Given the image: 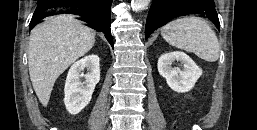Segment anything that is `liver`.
<instances>
[{
  "instance_id": "6515ba94",
  "label": "liver",
  "mask_w": 257,
  "mask_h": 130,
  "mask_svg": "<svg viewBox=\"0 0 257 130\" xmlns=\"http://www.w3.org/2000/svg\"><path fill=\"white\" fill-rule=\"evenodd\" d=\"M95 43V32L73 15H58L30 35L28 66L34 91L46 107L56 79Z\"/></svg>"
}]
</instances>
